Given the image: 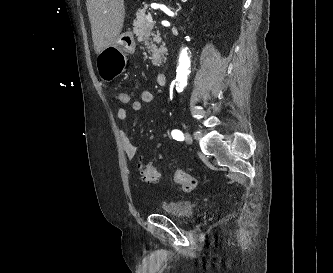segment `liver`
<instances>
[{
	"label": "liver",
	"instance_id": "1",
	"mask_svg": "<svg viewBox=\"0 0 333 273\" xmlns=\"http://www.w3.org/2000/svg\"><path fill=\"white\" fill-rule=\"evenodd\" d=\"M94 49L99 55L120 35L125 17L124 0H87Z\"/></svg>",
	"mask_w": 333,
	"mask_h": 273
}]
</instances>
